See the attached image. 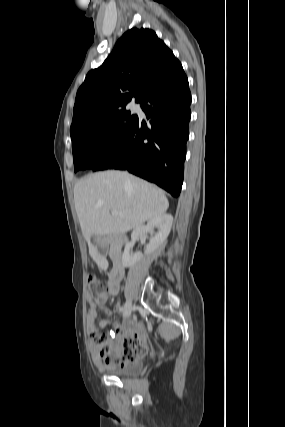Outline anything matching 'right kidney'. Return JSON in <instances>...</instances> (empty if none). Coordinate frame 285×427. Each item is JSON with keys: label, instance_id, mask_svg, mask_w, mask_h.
<instances>
[{"label": "right kidney", "instance_id": "ca27d5eb", "mask_svg": "<svg viewBox=\"0 0 285 427\" xmlns=\"http://www.w3.org/2000/svg\"><path fill=\"white\" fill-rule=\"evenodd\" d=\"M172 223V215L164 213L149 220L146 226H142L134 230L131 234V241L126 244L122 255L123 266L126 268L132 267L143 257L141 253L132 252V248L141 234L149 233L151 235L150 242L145 250V254H152L165 243L171 231ZM155 228L158 229L156 233H154Z\"/></svg>", "mask_w": 285, "mask_h": 427}]
</instances>
